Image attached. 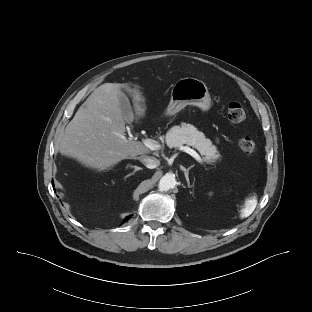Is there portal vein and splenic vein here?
Returning a JSON list of instances; mask_svg holds the SVG:
<instances>
[{"instance_id":"portal-vein-and-splenic-vein-1","label":"portal vein and splenic vein","mask_w":312,"mask_h":312,"mask_svg":"<svg viewBox=\"0 0 312 312\" xmlns=\"http://www.w3.org/2000/svg\"><path fill=\"white\" fill-rule=\"evenodd\" d=\"M143 144L151 149V150H158L160 148V145L158 144L157 141L153 140V139H144L143 140ZM181 150H183L184 152L190 154L195 160H197L199 163H202L203 160L200 157V155L193 149H191L190 147L187 146H181L180 147Z\"/></svg>"}]
</instances>
